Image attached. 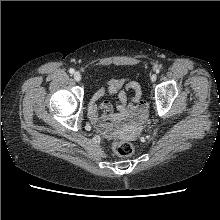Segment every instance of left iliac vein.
<instances>
[{
	"label": "left iliac vein",
	"instance_id": "4c4485c4",
	"mask_svg": "<svg viewBox=\"0 0 220 220\" xmlns=\"http://www.w3.org/2000/svg\"><path fill=\"white\" fill-rule=\"evenodd\" d=\"M156 80V74L151 75V81L154 82Z\"/></svg>",
	"mask_w": 220,
	"mask_h": 220
}]
</instances>
